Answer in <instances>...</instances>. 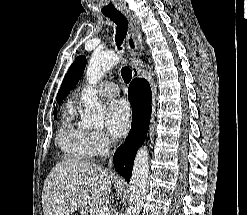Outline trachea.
Returning <instances> with one entry per match:
<instances>
[{"label": "trachea", "instance_id": "1", "mask_svg": "<svg viewBox=\"0 0 247 215\" xmlns=\"http://www.w3.org/2000/svg\"><path fill=\"white\" fill-rule=\"evenodd\" d=\"M105 16L109 17L116 24V35L115 41L119 50H121V45L127 35L128 29V20L127 18L120 12H113L109 14H105ZM121 75L125 83H129L132 79V71L128 66H123L121 69Z\"/></svg>", "mask_w": 247, "mask_h": 215}]
</instances>
